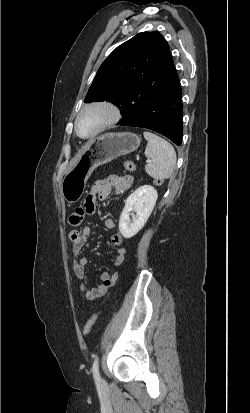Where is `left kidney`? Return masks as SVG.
<instances>
[{
  "instance_id": "1",
  "label": "left kidney",
  "mask_w": 250,
  "mask_h": 413,
  "mask_svg": "<svg viewBox=\"0 0 250 413\" xmlns=\"http://www.w3.org/2000/svg\"><path fill=\"white\" fill-rule=\"evenodd\" d=\"M157 190L150 185L137 188L125 201V207L119 220V230L126 239L135 236L147 222L156 204ZM135 211L133 221H130V212Z\"/></svg>"
}]
</instances>
